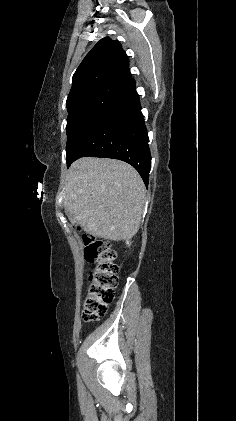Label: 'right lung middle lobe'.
Wrapping results in <instances>:
<instances>
[{
  "instance_id": "obj_1",
  "label": "right lung middle lobe",
  "mask_w": 236,
  "mask_h": 421,
  "mask_svg": "<svg viewBox=\"0 0 236 421\" xmlns=\"http://www.w3.org/2000/svg\"><path fill=\"white\" fill-rule=\"evenodd\" d=\"M129 94L122 86L110 85L90 89L67 99V164L80 142Z\"/></svg>"
}]
</instances>
